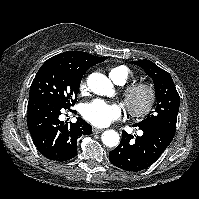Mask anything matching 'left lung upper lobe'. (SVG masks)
<instances>
[{"mask_svg":"<svg viewBox=\"0 0 199 199\" xmlns=\"http://www.w3.org/2000/svg\"><path fill=\"white\" fill-rule=\"evenodd\" d=\"M153 79L157 105L143 121L136 126H158L175 133L180 97L168 72L149 60L133 61Z\"/></svg>","mask_w":199,"mask_h":199,"instance_id":"1","label":"left lung upper lobe"}]
</instances>
